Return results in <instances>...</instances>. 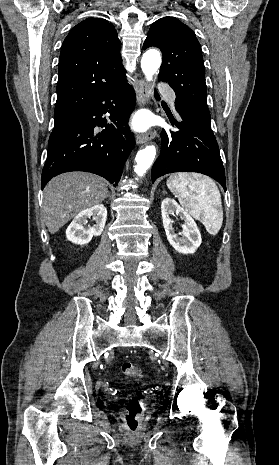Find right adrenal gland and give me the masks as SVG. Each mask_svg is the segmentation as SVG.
<instances>
[{
  "label": "right adrenal gland",
  "instance_id": "obj_1",
  "mask_svg": "<svg viewBox=\"0 0 279 465\" xmlns=\"http://www.w3.org/2000/svg\"><path fill=\"white\" fill-rule=\"evenodd\" d=\"M106 198H109V199L111 198V195H110V193H108V194H107V197H106Z\"/></svg>",
  "mask_w": 279,
  "mask_h": 465
}]
</instances>
